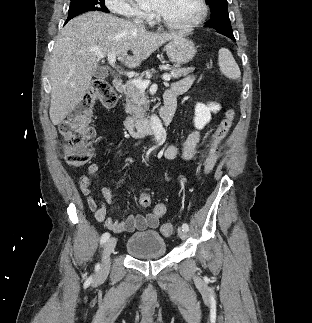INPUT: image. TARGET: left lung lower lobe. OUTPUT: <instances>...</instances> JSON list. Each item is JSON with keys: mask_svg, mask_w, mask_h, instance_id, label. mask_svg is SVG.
Wrapping results in <instances>:
<instances>
[{"mask_svg": "<svg viewBox=\"0 0 312 323\" xmlns=\"http://www.w3.org/2000/svg\"><path fill=\"white\" fill-rule=\"evenodd\" d=\"M229 38H231L233 41H235V38H234V35H231V34H226V33H221Z\"/></svg>", "mask_w": 312, "mask_h": 323, "instance_id": "1", "label": "left lung lower lobe"}]
</instances>
